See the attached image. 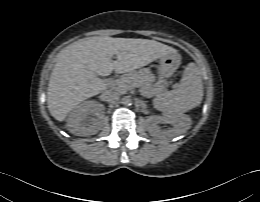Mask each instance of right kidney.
Wrapping results in <instances>:
<instances>
[{
	"mask_svg": "<svg viewBox=\"0 0 260 202\" xmlns=\"http://www.w3.org/2000/svg\"><path fill=\"white\" fill-rule=\"evenodd\" d=\"M104 106L96 101H85L76 106L67 119L68 130L76 136L96 134L102 127Z\"/></svg>",
	"mask_w": 260,
	"mask_h": 202,
	"instance_id": "obj_1",
	"label": "right kidney"
}]
</instances>
